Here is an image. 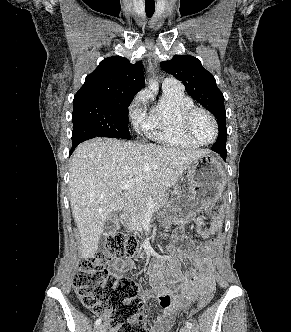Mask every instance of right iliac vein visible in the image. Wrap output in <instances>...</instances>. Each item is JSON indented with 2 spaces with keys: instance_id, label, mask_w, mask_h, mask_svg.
Segmentation results:
<instances>
[{
  "instance_id": "obj_1",
  "label": "right iliac vein",
  "mask_w": 291,
  "mask_h": 332,
  "mask_svg": "<svg viewBox=\"0 0 291 332\" xmlns=\"http://www.w3.org/2000/svg\"><path fill=\"white\" fill-rule=\"evenodd\" d=\"M97 332H106V329L103 325L99 326Z\"/></svg>"
}]
</instances>
